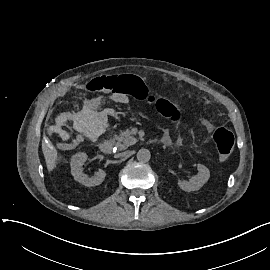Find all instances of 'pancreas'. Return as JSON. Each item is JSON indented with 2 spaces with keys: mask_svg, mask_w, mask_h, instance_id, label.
Listing matches in <instances>:
<instances>
[{
  "mask_svg": "<svg viewBox=\"0 0 270 270\" xmlns=\"http://www.w3.org/2000/svg\"><path fill=\"white\" fill-rule=\"evenodd\" d=\"M115 139L117 140L116 146L120 150L127 149L136 142V139L131 136L130 129H126L125 131L121 132L120 136H115Z\"/></svg>",
  "mask_w": 270,
  "mask_h": 270,
  "instance_id": "1",
  "label": "pancreas"
}]
</instances>
